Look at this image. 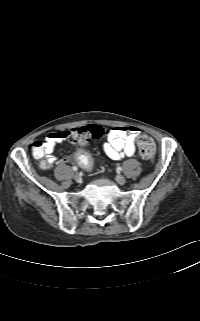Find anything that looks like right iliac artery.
<instances>
[{"instance_id": "1", "label": "right iliac artery", "mask_w": 200, "mask_h": 321, "mask_svg": "<svg viewBox=\"0 0 200 321\" xmlns=\"http://www.w3.org/2000/svg\"><path fill=\"white\" fill-rule=\"evenodd\" d=\"M72 169H73L74 171H77V170H78V168H77L76 166H73Z\"/></svg>"}]
</instances>
